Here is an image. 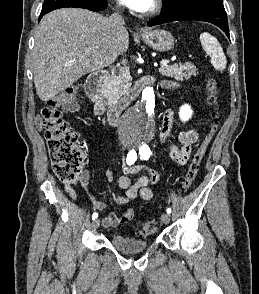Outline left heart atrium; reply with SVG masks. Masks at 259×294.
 Returning a JSON list of instances; mask_svg holds the SVG:
<instances>
[{"label": "left heart atrium", "instance_id": "left-heart-atrium-1", "mask_svg": "<svg viewBox=\"0 0 259 294\" xmlns=\"http://www.w3.org/2000/svg\"><path fill=\"white\" fill-rule=\"evenodd\" d=\"M123 5L136 10V11H146L152 0H119Z\"/></svg>", "mask_w": 259, "mask_h": 294}]
</instances>
